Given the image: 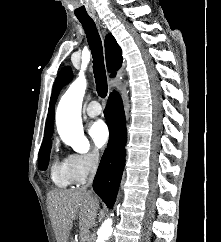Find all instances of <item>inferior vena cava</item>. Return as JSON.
<instances>
[{"mask_svg": "<svg viewBox=\"0 0 221 242\" xmlns=\"http://www.w3.org/2000/svg\"><path fill=\"white\" fill-rule=\"evenodd\" d=\"M95 157L97 159V154H95ZM96 159L91 164L90 176H89V179H88V183L82 187L83 190H86L87 187H89L92 184V182H93V179H94V176H95V173H96V169H97V161H96Z\"/></svg>", "mask_w": 221, "mask_h": 242, "instance_id": "inferior-vena-cava-1", "label": "inferior vena cava"}]
</instances>
